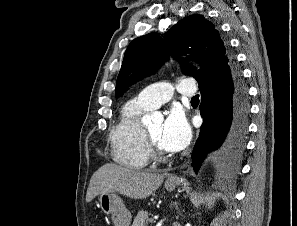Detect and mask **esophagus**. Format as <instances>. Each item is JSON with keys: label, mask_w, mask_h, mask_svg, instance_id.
I'll use <instances>...</instances> for the list:
<instances>
[{"label": "esophagus", "mask_w": 297, "mask_h": 226, "mask_svg": "<svg viewBox=\"0 0 297 226\" xmlns=\"http://www.w3.org/2000/svg\"><path fill=\"white\" fill-rule=\"evenodd\" d=\"M170 181H176V179L175 178H171Z\"/></svg>", "instance_id": "esophagus-1"}]
</instances>
